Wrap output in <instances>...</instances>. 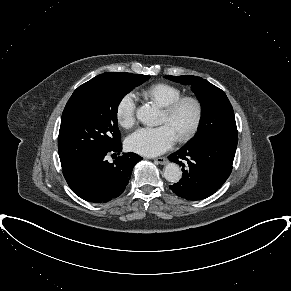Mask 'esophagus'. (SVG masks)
Listing matches in <instances>:
<instances>
[{
  "label": "esophagus",
  "instance_id": "obj_1",
  "mask_svg": "<svg viewBox=\"0 0 291 291\" xmlns=\"http://www.w3.org/2000/svg\"><path fill=\"white\" fill-rule=\"evenodd\" d=\"M157 163L164 165L167 163V158L166 157H157L154 159Z\"/></svg>",
  "mask_w": 291,
  "mask_h": 291
}]
</instances>
